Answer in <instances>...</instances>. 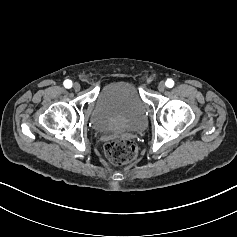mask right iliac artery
Segmentation results:
<instances>
[{
    "instance_id": "right-iliac-artery-1",
    "label": "right iliac artery",
    "mask_w": 237,
    "mask_h": 237,
    "mask_svg": "<svg viewBox=\"0 0 237 237\" xmlns=\"http://www.w3.org/2000/svg\"><path fill=\"white\" fill-rule=\"evenodd\" d=\"M63 84H64L65 88L69 89L72 87V81L69 79L65 80Z\"/></svg>"
}]
</instances>
